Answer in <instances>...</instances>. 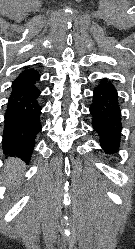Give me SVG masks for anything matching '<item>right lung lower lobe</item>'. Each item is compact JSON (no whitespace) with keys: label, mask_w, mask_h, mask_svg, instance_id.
Segmentation results:
<instances>
[{"label":"right lung lower lobe","mask_w":135,"mask_h":249,"mask_svg":"<svg viewBox=\"0 0 135 249\" xmlns=\"http://www.w3.org/2000/svg\"><path fill=\"white\" fill-rule=\"evenodd\" d=\"M39 78V73L17 77L12 83L5 112L3 152L25 162H29L36 136L42 128Z\"/></svg>","instance_id":"98d812e1"}]
</instances>
